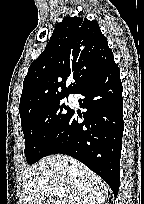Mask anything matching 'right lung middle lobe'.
<instances>
[{
	"label": "right lung middle lobe",
	"mask_w": 144,
	"mask_h": 204,
	"mask_svg": "<svg viewBox=\"0 0 144 204\" xmlns=\"http://www.w3.org/2000/svg\"><path fill=\"white\" fill-rule=\"evenodd\" d=\"M67 96L53 98L21 116L28 163H35L45 156L60 129L67 122L72 113V109L62 103V99Z\"/></svg>",
	"instance_id": "obj_1"
}]
</instances>
